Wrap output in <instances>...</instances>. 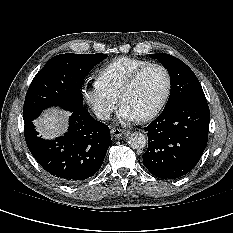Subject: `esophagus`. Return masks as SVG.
<instances>
[{"label": "esophagus", "instance_id": "esophagus-1", "mask_svg": "<svg viewBox=\"0 0 233 233\" xmlns=\"http://www.w3.org/2000/svg\"><path fill=\"white\" fill-rule=\"evenodd\" d=\"M111 134L115 138H122L123 136H125L127 134V132L125 130H122V129L111 128Z\"/></svg>", "mask_w": 233, "mask_h": 233}]
</instances>
